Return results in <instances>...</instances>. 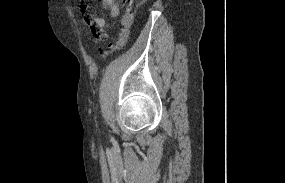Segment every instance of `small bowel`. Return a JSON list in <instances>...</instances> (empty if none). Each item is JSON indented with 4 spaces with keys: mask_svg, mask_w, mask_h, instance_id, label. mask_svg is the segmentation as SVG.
<instances>
[{
    "mask_svg": "<svg viewBox=\"0 0 285 183\" xmlns=\"http://www.w3.org/2000/svg\"><path fill=\"white\" fill-rule=\"evenodd\" d=\"M102 4L109 11L110 18L114 19L120 15V7L116 0H102ZM82 25L88 29L95 43H100L107 40L106 30L109 27L107 20L104 17L92 14L88 11L87 6L82 9Z\"/></svg>",
    "mask_w": 285,
    "mask_h": 183,
    "instance_id": "c3829d8e",
    "label": "small bowel"
}]
</instances>
